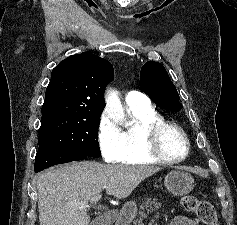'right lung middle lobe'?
<instances>
[{
    "mask_svg": "<svg viewBox=\"0 0 237 225\" xmlns=\"http://www.w3.org/2000/svg\"><path fill=\"white\" fill-rule=\"evenodd\" d=\"M100 116H56L42 120L39 148L68 150L100 157L97 140Z\"/></svg>",
    "mask_w": 237,
    "mask_h": 225,
    "instance_id": "dd1d6c3e",
    "label": "right lung middle lobe"
}]
</instances>
